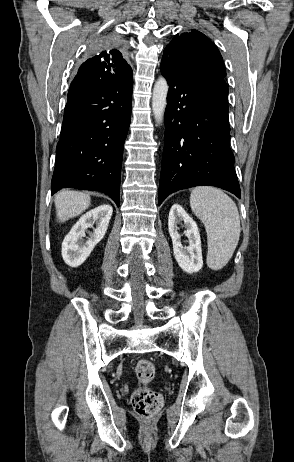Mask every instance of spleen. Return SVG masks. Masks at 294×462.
Masks as SVG:
<instances>
[{
    "label": "spleen",
    "instance_id": "spleen-1",
    "mask_svg": "<svg viewBox=\"0 0 294 462\" xmlns=\"http://www.w3.org/2000/svg\"><path fill=\"white\" fill-rule=\"evenodd\" d=\"M190 205L205 225L207 264L219 270L228 263L239 241L241 228L237 206L222 190L207 186L192 190Z\"/></svg>",
    "mask_w": 294,
    "mask_h": 462
}]
</instances>
